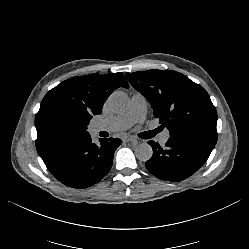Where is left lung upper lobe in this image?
Segmentation results:
<instances>
[{"mask_svg":"<svg viewBox=\"0 0 249 249\" xmlns=\"http://www.w3.org/2000/svg\"><path fill=\"white\" fill-rule=\"evenodd\" d=\"M130 84L151 104L154 116L170 137H185L215 145L217 112L206 90L172 70L126 73Z\"/></svg>","mask_w":249,"mask_h":249,"instance_id":"5c2ea615","label":"left lung upper lobe"}]
</instances>
